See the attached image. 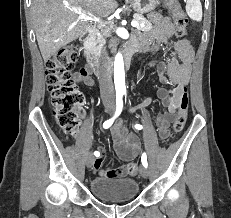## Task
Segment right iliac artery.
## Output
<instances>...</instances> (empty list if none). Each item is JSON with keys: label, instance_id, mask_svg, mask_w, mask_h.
Masks as SVG:
<instances>
[{"label": "right iliac artery", "instance_id": "right-iliac-artery-1", "mask_svg": "<svg viewBox=\"0 0 231 218\" xmlns=\"http://www.w3.org/2000/svg\"><path fill=\"white\" fill-rule=\"evenodd\" d=\"M122 109H123L122 93H117L116 94V112L111 119L104 122L103 127L109 128L113 124L114 120L120 115ZM94 155L96 157L99 156V152L95 151Z\"/></svg>", "mask_w": 231, "mask_h": 218}]
</instances>
